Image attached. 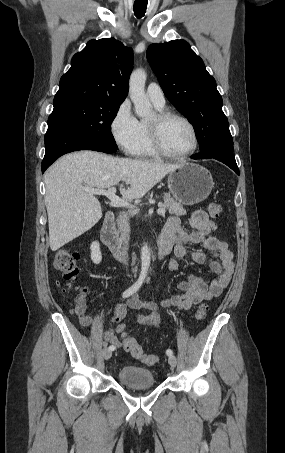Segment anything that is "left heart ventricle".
Returning <instances> with one entry per match:
<instances>
[{"mask_svg":"<svg viewBox=\"0 0 285 453\" xmlns=\"http://www.w3.org/2000/svg\"><path fill=\"white\" fill-rule=\"evenodd\" d=\"M153 119L154 116L149 121ZM162 137L165 147L172 153H184L193 145L190 128L179 119H170L164 124Z\"/></svg>","mask_w":285,"mask_h":453,"instance_id":"1","label":"left heart ventricle"}]
</instances>
